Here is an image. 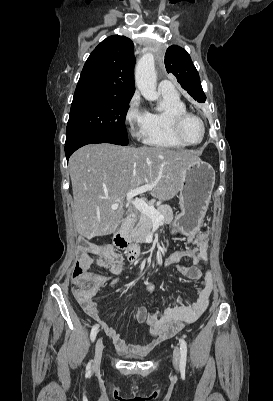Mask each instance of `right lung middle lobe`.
I'll return each mask as SVG.
<instances>
[{
	"mask_svg": "<svg viewBox=\"0 0 273 401\" xmlns=\"http://www.w3.org/2000/svg\"><path fill=\"white\" fill-rule=\"evenodd\" d=\"M130 100L112 96H74L66 140L93 137L108 143L127 145L125 117Z\"/></svg>",
	"mask_w": 273,
	"mask_h": 401,
	"instance_id": "right-lung-middle-lobe-1",
	"label": "right lung middle lobe"
}]
</instances>
